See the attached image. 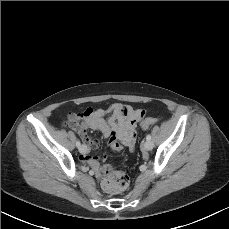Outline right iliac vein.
Here are the masks:
<instances>
[{"mask_svg": "<svg viewBox=\"0 0 229 229\" xmlns=\"http://www.w3.org/2000/svg\"><path fill=\"white\" fill-rule=\"evenodd\" d=\"M84 148H85L84 145L80 146V147H79V151L82 153L83 150H84Z\"/></svg>", "mask_w": 229, "mask_h": 229, "instance_id": "1", "label": "right iliac vein"}]
</instances>
